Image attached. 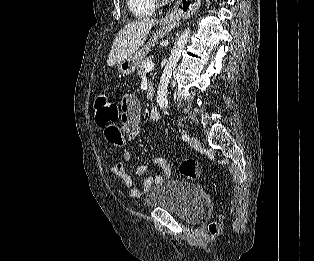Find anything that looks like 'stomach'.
<instances>
[{"instance_id":"1","label":"stomach","mask_w":314,"mask_h":261,"mask_svg":"<svg viewBox=\"0 0 314 261\" xmlns=\"http://www.w3.org/2000/svg\"><path fill=\"white\" fill-rule=\"evenodd\" d=\"M159 36H155L154 39H157ZM144 51L139 50L135 52L133 55L122 61L118 64V71L121 75H130L135 70L138 64L140 63L141 59L144 57Z\"/></svg>"}]
</instances>
